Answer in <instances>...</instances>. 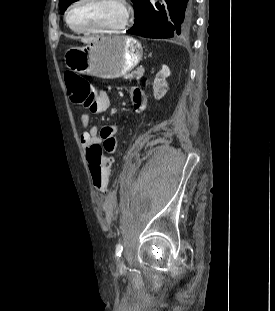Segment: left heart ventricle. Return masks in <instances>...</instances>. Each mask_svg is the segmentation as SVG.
Listing matches in <instances>:
<instances>
[{
	"label": "left heart ventricle",
	"instance_id": "obj_1",
	"mask_svg": "<svg viewBox=\"0 0 275 311\" xmlns=\"http://www.w3.org/2000/svg\"><path fill=\"white\" fill-rule=\"evenodd\" d=\"M122 16L115 0H84L72 9L69 21L78 28H104L119 24Z\"/></svg>",
	"mask_w": 275,
	"mask_h": 311
}]
</instances>
